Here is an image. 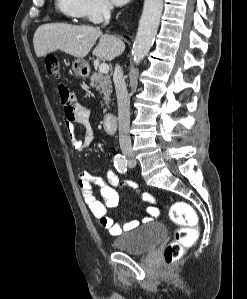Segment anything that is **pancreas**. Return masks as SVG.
I'll use <instances>...</instances> for the list:
<instances>
[{
    "label": "pancreas",
    "mask_w": 247,
    "mask_h": 299,
    "mask_svg": "<svg viewBox=\"0 0 247 299\" xmlns=\"http://www.w3.org/2000/svg\"><path fill=\"white\" fill-rule=\"evenodd\" d=\"M90 86L94 87L100 94L103 95V101L101 105H109L111 101L110 96L112 92L111 80L108 75H103L100 72H94L90 77ZM106 111V109L104 110Z\"/></svg>",
    "instance_id": "1"
}]
</instances>
